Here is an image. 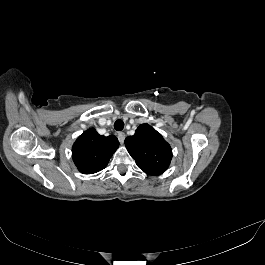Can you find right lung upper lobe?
<instances>
[{"instance_id": "right-lung-upper-lobe-1", "label": "right lung upper lobe", "mask_w": 265, "mask_h": 265, "mask_svg": "<svg viewBox=\"0 0 265 265\" xmlns=\"http://www.w3.org/2000/svg\"><path fill=\"white\" fill-rule=\"evenodd\" d=\"M118 147L116 136L105 137L95 129H88L73 144L72 158L80 172L93 174L106 167Z\"/></svg>"}]
</instances>
